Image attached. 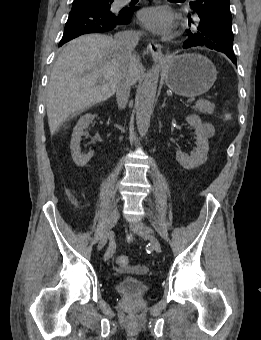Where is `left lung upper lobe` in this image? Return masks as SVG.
<instances>
[{
	"instance_id": "obj_1",
	"label": "left lung upper lobe",
	"mask_w": 261,
	"mask_h": 340,
	"mask_svg": "<svg viewBox=\"0 0 261 340\" xmlns=\"http://www.w3.org/2000/svg\"><path fill=\"white\" fill-rule=\"evenodd\" d=\"M205 4H213L229 8V0H196L191 2L194 13L198 19L194 23L197 29L188 31L189 39H193L195 45L204 46L210 49L221 51L222 49L233 51V32H232V16L221 11L210 13L211 18L208 21L200 17L201 11L206 8ZM230 9V8H229Z\"/></svg>"
}]
</instances>
